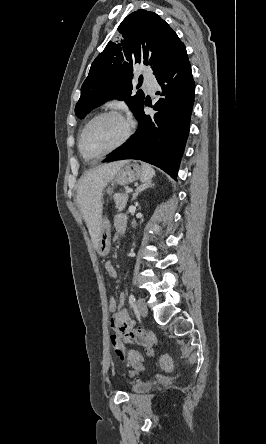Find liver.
<instances>
[{"label": "liver", "mask_w": 266, "mask_h": 444, "mask_svg": "<svg viewBox=\"0 0 266 444\" xmlns=\"http://www.w3.org/2000/svg\"><path fill=\"white\" fill-rule=\"evenodd\" d=\"M128 160L104 164L86 172L79 180L77 203L84 216L94 247L98 248L102 220V191Z\"/></svg>", "instance_id": "obj_1"}]
</instances>
